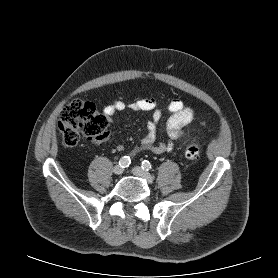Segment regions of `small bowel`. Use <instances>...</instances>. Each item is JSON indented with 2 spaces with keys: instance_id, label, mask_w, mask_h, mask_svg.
Masks as SVG:
<instances>
[{
  "instance_id": "obj_1",
  "label": "small bowel",
  "mask_w": 278,
  "mask_h": 278,
  "mask_svg": "<svg viewBox=\"0 0 278 278\" xmlns=\"http://www.w3.org/2000/svg\"><path fill=\"white\" fill-rule=\"evenodd\" d=\"M130 108L134 111H149L152 113L151 120L147 124V133L141 140L138 147L131 151V155H135L139 151H149L155 154L170 152L173 149L174 141L181 138L184 134V129L195 119V114L192 108L186 106L183 101L178 98L172 99L168 105L170 113L166 122L164 123L163 130L168 136L167 141L156 142L158 125L162 118V112L157 107V103L153 98H140L129 105L123 101L116 100L104 108V114L110 119L115 113ZM108 133L100 138L106 140ZM122 146H118L121 150Z\"/></svg>"
}]
</instances>
